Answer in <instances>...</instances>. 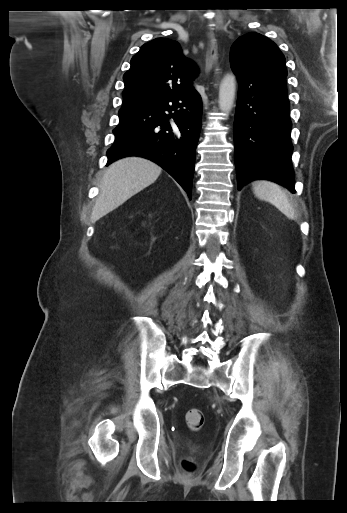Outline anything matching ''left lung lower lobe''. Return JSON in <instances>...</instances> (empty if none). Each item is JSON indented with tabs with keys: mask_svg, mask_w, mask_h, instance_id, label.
Listing matches in <instances>:
<instances>
[{
	"mask_svg": "<svg viewBox=\"0 0 347 513\" xmlns=\"http://www.w3.org/2000/svg\"><path fill=\"white\" fill-rule=\"evenodd\" d=\"M232 70L239 82L234 120L238 189L268 179L295 193L286 77Z\"/></svg>",
	"mask_w": 347,
	"mask_h": 513,
	"instance_id": "0a47b994",
	"label": "left lung lower lobe"
}]
</instances>
